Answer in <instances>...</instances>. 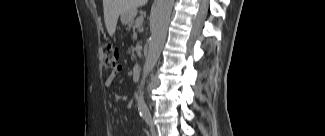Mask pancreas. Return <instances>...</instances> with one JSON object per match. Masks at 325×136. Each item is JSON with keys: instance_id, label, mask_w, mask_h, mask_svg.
Masks as SVG:
<instances>
[{"instance_id": "obj_1", "label": "pancreas", "mask_w": 325, "mask_h": 136, "mask_svg": "<svg viewBox=\"0 0 325 136\" xmlns=\"http://www.w3.org/2000/svg\"><path fill=\"white\" fill-rule=\"evenodd\" d=\"M131 22H132V23H131ZM131 22L128 24L130 27H131V26H134V24H135V21L132 20ZM129 31L131 32L132 30L130 29ZM132 36H133V38L136 39V38H138L139 35H138V33L135 32V33H133Z\"/></svg>"}]
</instances>
